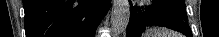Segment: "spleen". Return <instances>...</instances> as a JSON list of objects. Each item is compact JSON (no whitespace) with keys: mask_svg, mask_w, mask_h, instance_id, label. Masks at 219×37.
<instances>
[{"mask_svg":"<svg viewBox=\"0 0 219 37\" xmlns=\"http://www.w3.org/2000/svg\"><path fill=\"white\" fill-rule=\"evenodd\" d=\"M151 37H181L180 34L173 33L166 29L153 28L150 30Z\"/></svg>","mask_w":219,"mask_h":37,"instance_id":"obj_1","label":"spleen"}]
</instances>
